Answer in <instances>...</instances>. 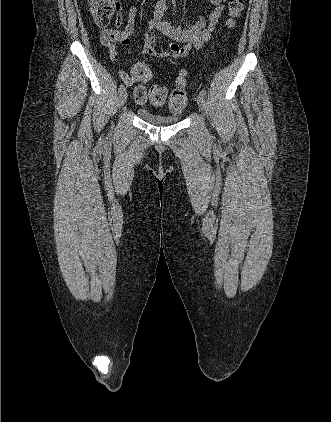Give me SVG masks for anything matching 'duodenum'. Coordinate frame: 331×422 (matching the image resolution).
Segmentation results:
<instances>
[{
  "mask_svg": "<svg viewBox=\"0 0 331 422\" xmlns=\"http://www.w3.org/2000/svg\"><path fill=\"white\" fill-rule=\"evenodd\" d=\"M164 1H166V0H164ZM167 1H170V2H165L166 6L168 5V3H173L175 0H167Z\"/></svg>",
  "mask_w": 331,
  "mask_h": 422,
  "instance_id": "duodenum-1",
  "label": "duodenum"
}]
</instances>
